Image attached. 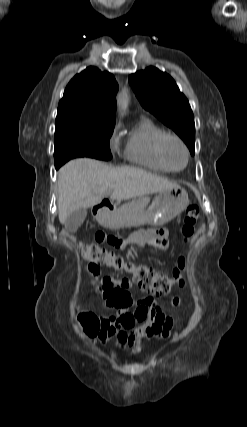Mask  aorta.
<instances>
[{
    "label": "aorta",
    "mask_w": 247,
    "mask_h": 427,
    "mask_svg": "<svg viewBox=\"0 0 247 427\" xmlns=\"http://www.w3.org/2000/svg\"><path fill=\"white\" fill-rule=\"evenodd\" d=\"M117 103L121 114H124L129 103V95L127 90L124 89L118 94Z\"/></svg>",
    "instance_id": "aorta-1"
}]
</instances>
